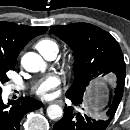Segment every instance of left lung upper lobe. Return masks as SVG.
Returning a JSON list of instances; mask_svg holds the SVG:
<instances>
[{
    "label": "left lung upper lobe",
    "mask_w": 130,
    "mask_h": 130,
    "mask_svg": "<svg viewBox=\"0 0 130 130\" xmlns=\"http://www.w3.org/2000/svg\"><path fill=\"white\" fill-rule=\"evenodd\" d=\"M50 30L70 46L75 58V79L66 96L82 99L91 83L112 72L117 77L113 101L120 102L125 83V62L118 42L108 32L88 23L54 26Z\"/></svg>",
    "instance_id": "5c2ea615"
}]
</instances>
